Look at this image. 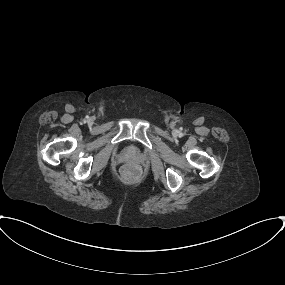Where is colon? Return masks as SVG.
<instances>
[{"instance_id": "obj_1", "label": "colon", "mask_w": 285, "mask_h": 285, "mask_svg": "<svg viewBox=\"0 0 285 285\" xmlns=\"http://www.w3.org/2000/svg\"><path fill=\"white\" fill-rule=\"evenodd\" d=\"M122 171L126 175H136L138 173V167L135 164H126Z\"/></svg>"}]
</instances>
